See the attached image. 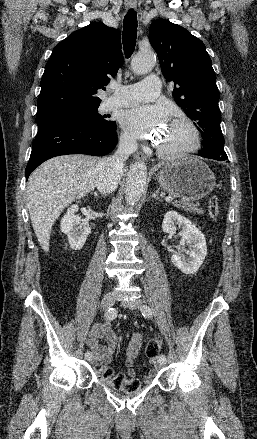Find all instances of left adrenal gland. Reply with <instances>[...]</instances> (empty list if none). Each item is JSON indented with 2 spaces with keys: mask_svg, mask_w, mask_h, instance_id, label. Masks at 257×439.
Wrapping results in <instances>:
<instances>
[{
  "mask_svg": "<svg viewBox=\"0 0 257 439\" xmlns=\"http://www.w3.org/2000/svg\"><path fill=\"white\" fill-rule=\"evenodd\" d=\"M152 198L162 200L161 197L159 196V188H157V190L152 194Z\"/></svg>",
  "mask_w": 257,
  "mask_h": 439,
  "instance_id": "1",
  "label": "left adrenal gland"
}]
</instances>
